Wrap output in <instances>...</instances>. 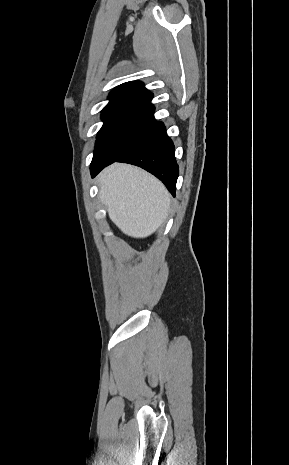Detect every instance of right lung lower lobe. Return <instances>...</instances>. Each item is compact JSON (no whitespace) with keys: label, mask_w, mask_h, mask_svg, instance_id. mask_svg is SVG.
<instances>
[{"label":"right lung lower lobe","mask_w":289,"mask_h":465,"mask_svg":"<svg viewBox=\"0 0 289 465\" xmlns=\"http://www.w3.org/2000/svg\"><path fill=\"white\" fill-rule=\"evenodd\" d=\"M116 161L134 164L149 171L159 178L175 196L179 169L174 156L173 142L166 134L162 122H155L131 148L116 160L91 162L92 177Z\"/></svg>","instance_id":"obj_1"}]
</instances>
